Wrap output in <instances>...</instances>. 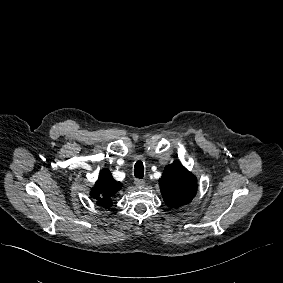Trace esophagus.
<instances>
[{"label":"esophagus","mask_w":283,"mask_h":283,"mask_svg":"<svg viewBox=\"0 0 283 283\" xmlns=\"http://www.w3.org/2000/svg\"><path fill=\"white\" fill-rule=\"evenodd\" d=\"M134 184L138 187H142L145 185V180L144 179H135Z\"/></svg>","instance_id":"1"}]
</instances>
